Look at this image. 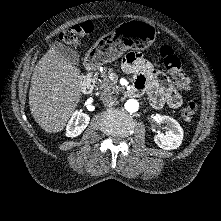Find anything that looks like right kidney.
Instances as JSON below:
<instances>
[{"instance_id":"1","label":"right kidney","mask_w":221,"mask_h":221,"mask_svg":"<svg viewBox=\"0 0 221 221\" xmlns=\"http://www.w3.org/2000/svg\"><path fill=\"white\" fill-rule=\"evenodd\" d=\"M89 121V115L79 111H75L67 124L66 136L77 137L86 129Z\"/></svg>"}]
</instances>
